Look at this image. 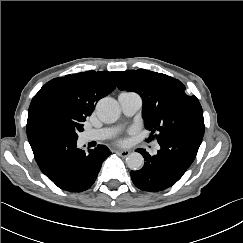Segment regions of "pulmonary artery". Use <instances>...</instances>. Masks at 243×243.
<instances>
[{
	"mask_svg": "<svg viewBox=\"0 0 243 243\" xmlns=\"http://www.w3.org/2000/svg\"><path fill=\"white\" fill-rule=\"evenodd\" d=\"M118 100L124 115L128 117H131L137 113V111L142 106L141 97L135 93H121L118 97ZM113 133V129H97L82 133L81 138L83 142L98 141L110 137ZM155 149L158 150L159 146L156 145Z\"/></svg>",
	"mask_w": 243,
	"mask_h": 243,
	"instance_id": "1",
	"label": "pulmonary artery"
}]
</instances>
